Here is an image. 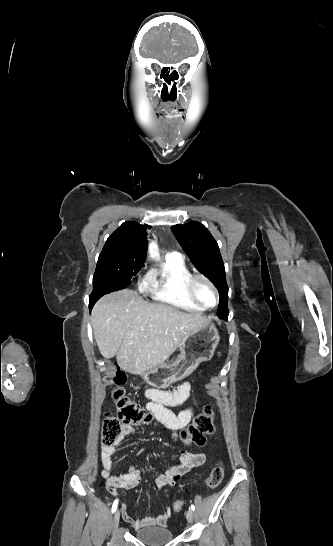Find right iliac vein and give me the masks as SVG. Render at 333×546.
<instances>
[{"mask_svg": "<svg viewBox=\"0 0 333 546\" xmlns=\"http://www.w3.org/2000/svg\"><path fill=\"white\" fill-rule=\"evenodd\" d=\"M119 519H120V511L117 510L114 514V517H113V527H114V530H116L118 524H119Z\"/></svg>", "mask_w": 333, "mask_h": 546, "instance_id": "63e3f726", "label": "right iliac vein"}]
</instances>
